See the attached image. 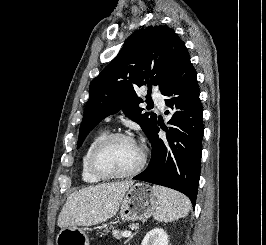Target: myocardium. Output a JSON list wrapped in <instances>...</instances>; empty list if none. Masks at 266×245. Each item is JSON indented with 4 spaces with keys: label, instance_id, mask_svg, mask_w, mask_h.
I'll list each match as a JSON object with an SVG mask.
<instances>
[{
    "label": "myocardium",
    "instance_id": "1",
    "mask_svg": "<svg viewBox=\"0 0 266 245\" xmlns=\"http://www.w3.org/2000/svg\"><path fill=\"white\" fill-rule=\"evenodd\" d=\"M115 139H126V140H131L135 142L140 151V157L139 161L136 165V167L124 174H113L110 173L106 170H104L101 165H100V155L102 151L105 149V147L112 142ZM146 160V154L144 149L133 139L131 136L124 132L120 131H114V132H108L104 136H102L93 146L91 152H90V157H89V164H90V169L91 171L100 179L102 180H117V179H126V178H131L135 175H137L142 168L144 167Z\"/></svg>",
    "mask_w": 266,
    "mask_h": 245
}]
</instances>
